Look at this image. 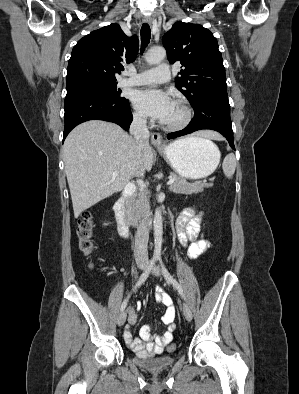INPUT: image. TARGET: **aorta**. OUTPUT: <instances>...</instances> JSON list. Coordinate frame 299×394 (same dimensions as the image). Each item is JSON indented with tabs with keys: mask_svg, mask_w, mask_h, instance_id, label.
I'll use <instances>...</instances> for the list:
<instances>
[{
	"mask_svg": "<svg viewBox=\"0 0 299 394\" xmlns=\"http://www.w3.org/2000/svg\"><path fill=\"white\" fill-rule=\"evenodd\" d=\"M166 57V51L162 47H155L150 49L146 55L145 60L149 65L159 64ZM154 253L155 255H159L161 252L162 246V234H163V224H162V215L160 209L155 210L154 215Z\"/></svg>",
	"mask_w": 299,
	"mask_h": 394,
	"instance_id": "obj_1",
	"label": "aorta"
}]
</instances>
